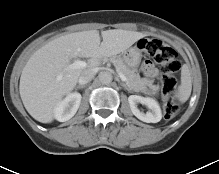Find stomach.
I'll return each instance as SVG.
<instances>
[{"instance_id": "obj_1", "label": "stomach", "mask_w": 219, "mask_h": 174, "mask_svg": "<svg viewBox=\"0 0 219 174\" xmlns=\"http://www.w3.org/2000/svg\"><path fill=\"white\" fill-rule=\"evenodd\" d=\"M141 58L142 50L138 45H136L125 52L124 60L129 67L135 68L140 64Z\"/></svg>"}]
</instances>
